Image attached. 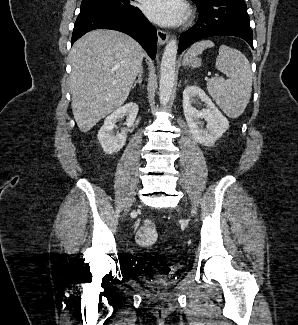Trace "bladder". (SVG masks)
<instances>
[{"label":"bladder","instance_id":"bladder-1","mask_svg":"<svg viewBox=\"0 0 298 325\" xmlns=\"http://www.w3.org/2000/svg\"><path fill=\"white\" fill-rule=\"evenodd\" d=\"M172 278L171 277H164L160 279L158 282L152 283V287L157 290H162L168 287V285L171 283Z\"/></svg>","mask_w":298,"mask_h":325}]
</instances>
